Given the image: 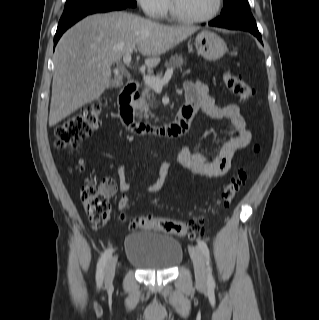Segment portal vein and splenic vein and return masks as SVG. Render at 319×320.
<instances>
[{"label": "portal vein and splenic vein", "mask_w": 319, "mask_h": 320, "mask_svg": "<svg viewBox=\"0 0 319 320\" xmlns=\"http://www.w3.org/2000/svg\"><path fill=\"white\" fill-rule=\"evenodd\" d=\"M131 62V54H125L123 56V63L129 64ZM173 75V69L170 68L166 71L163 78H157L154 76H146L144 77V81L146 84L150 85L155 90H161L163 85L169 82Z\"/></svg>", "instance_id": "obj_1"}]
</instances>
